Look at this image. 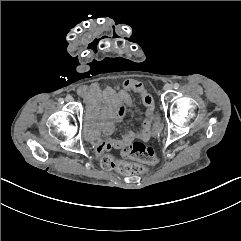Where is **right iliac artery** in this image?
I'll list each match as a JSON object with an SVG mask.
<instances>
[{
    "instance_id": "82829eb1",
    "label": "right iliac artery",
    "mask_w": 241,
    "mask_h": 241,
    "mask_svg": "<svg viewBox=\"0 0 241 241\" xmlns=\"http://www.w3.org/2000/svg\"><path fill=\"white\" fill-rule=\"evenodd\" d=\"M58 101H59V103H61V104H63V103H64L63 98H60Z\"/></svg>"
}]
</instances>
